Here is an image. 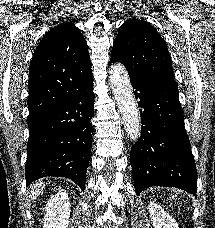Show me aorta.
Masks as SVG:
<instances>
[{
	"label": "aorta",
	"instance_id": "obj_1",
	"mask_svg": "<svg viewBox=\"0 0 215 228\" xmlns=\"http://www.w3.org/2000/svg\"><path fill=\"white\" fill-rule=\"evenodd\" d=\"M109 74L112 94L122 116L124 130L130 140L137 142L141 136V118L128 72L122 64H115L111 66Z\"/></svg>",
	"mask_w": 215,
	"mask_h": 228
}]
</instances>
